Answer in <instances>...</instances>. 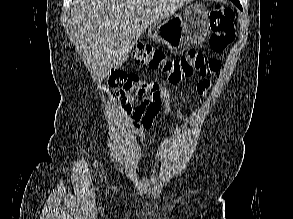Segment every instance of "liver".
<instances>
[{
    "label": "liver",
    "mask_w": 293,
    "mask_h": 219,
    "mask_svg": "<svg viewBox=\"0 0 293 219\" xmlns=\"http://www.w3.org/2000/svg\"><path fill=\"white\" fill-rule=\"evenodd\" d=\"M193 0H74L73 37L96 77L120 67L148 26Z\"/></svg>",
    "instance_id": "liver-1"
}]
</instances>
